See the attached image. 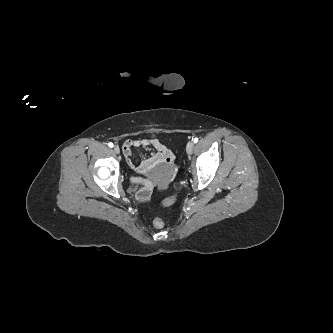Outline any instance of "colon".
Masks as SVG:
<instances>
[{
  "label": "colon",
  "mask_w": 333,
  "mask_h": 333,
  "mask_svg": "<svg viewBox=\"0 0 333 333\" xmlns=\"http://www.w3.org/2000/svg\"><path fill=\"white\" fill-rule=\"evenodd\" d=\"M177 200V195H173L169 198H166L165 200L162 201V206H170L174 204ZM153 226L157 229H161L164 227V221L160 217H156L153 220Z\"/></svg>",
  "instance_id": "5ec220e1"
}]
</instances>
